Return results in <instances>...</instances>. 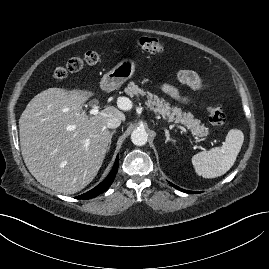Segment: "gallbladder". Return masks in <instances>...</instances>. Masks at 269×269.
<instances>
[{
    "label": "gallbladder",
    "instance_id": "obj_1",
    "mask_svg": "<svg viewBox=\"0 0 269 269\" xmlns=\"http://www.w3.org/2000/svg\"><path fill=\"white\" fill-rule=\"evenodd\" d=\"M94 101H91L90 103L93 104Z\"/></svg>",
    "mask_w": 269,
    "mask_h": 269
}]
</instances>
